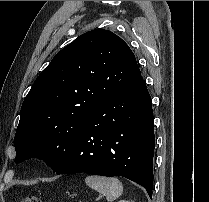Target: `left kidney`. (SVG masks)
<instances>
[{
    "label": "left kidney",
    "instance_id": "5707ae66",
    "mask_svg": "<svg viewBox=\"0 0 209 202\" xmlns=\"http://www.w3.org/2000/svg\"><path fill=\"white\" fill-rule=\"evenodd\" d=\"M118 202H130V201H127V200H120Z\"/></svg>",
    "mask_w": 209,
    "mask_h": 202
}]
</instances>
